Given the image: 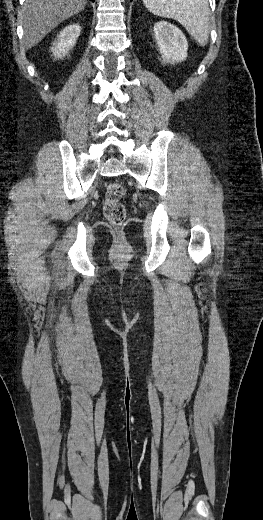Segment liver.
<instances>
[{
  "mask_svg": "<svg viewBox=\"0 0 263 520\" xmlns=\"http://www.w3.org/2000/svg\"><path fill=\"white\" fill-rule=\"evenodd\" d=\"M86 0H25L22 10L23 46L37 45L64 20L78 14Z\"/></svg>",
  "mask_w": 263,
  "mask_h": 520,
  "instance_id": "obj_1",
  "label": "liver"
}]
</instances>
